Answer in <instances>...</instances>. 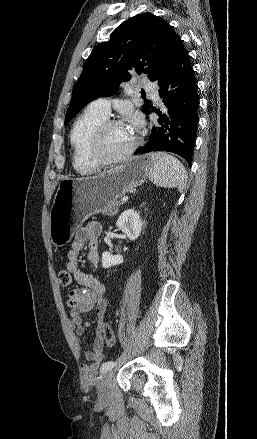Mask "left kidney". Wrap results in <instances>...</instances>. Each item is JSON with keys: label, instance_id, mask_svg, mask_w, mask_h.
<instances>
[{"label": "left kidney", "instance_id": "5707ae66", "mask_svg": "<svg viewBox=\"0 0 257 439\" xmlns=\"http://www.w3.org/2000/svg\"><path fill=\"white\" fill-rule=\"evenodd\" d=\"M142 219L138 212L134 209L125 210L118 218L116 226L132 241L136 240L142 230ZM123 263L121 255H113L110 252H103L102 267L109 268L111 266L120 265Z\"/></svg>", "mask_w": 257, "mask_h": 439}]
</instances>
